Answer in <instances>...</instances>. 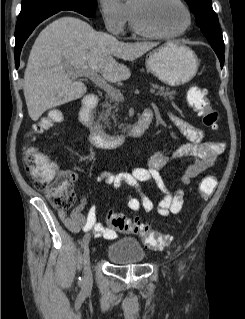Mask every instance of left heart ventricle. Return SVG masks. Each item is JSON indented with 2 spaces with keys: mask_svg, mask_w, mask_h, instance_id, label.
Here are the masks:
<instances>
[{
  "mask_svg": "<svg viewBox=\"0 0 245 319\" xmlns=\"http://www.w3.org/2000/svg\"><path fill=\"white\" fill-rule=\"evenodd\" d=\"M131 0L130 5H137ZM146 24L154 30L172 33L181 30L187 23L184 9L175 0H149L143 10Z\"/></svg>",
  "mask_w": 245,
  "mask_h": 319,
  "instance_id": "1",
  "label": "left heart ventricle"
}]
</instances>
